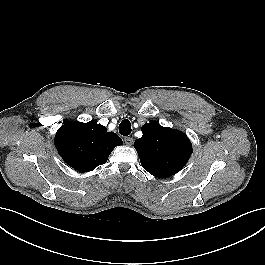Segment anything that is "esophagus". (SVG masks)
<instances>
[{
    "label": "esophagus",
    "instance_id": "1",
    "mask_svg": "<svg viewBox=\"0 0 265 265\" xmlns=\"http://www.w3.org/2000/svg\"><path fill=\"white\" fill-rule=\"evenodd\" d=\"M124 142L127 146H131L133 144V138L132 137H126L124 139Z\"/></svg>",
    "mask_w": 265,
    "mask_h": 265
}]
</instances>
